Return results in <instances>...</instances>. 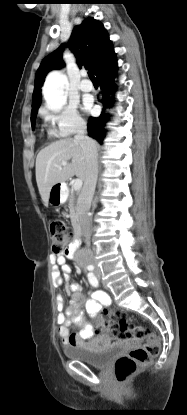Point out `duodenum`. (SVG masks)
I'll return each mask as SVG.
<instances>
[{
	"label": "duodenum",
	"instance_id": "obj_1",
	"mask_svg": "<svg viewBox=\"0 0 187 415\" xmlns=\"http://www.w3.org/2000/svg\"><path fill=\"white\" fill-rule=\"evenodd\" d=\"M75 235H76L75 241H74L72 247L69 250V255L70 256L73 255V253L76 250V248H77V246H78V244L80 242V239H81V230H80L79 225H76L75 226Z\"/></svg>",
	"mask_w": 187,
	"mask_h": 415
}]
</instances>
